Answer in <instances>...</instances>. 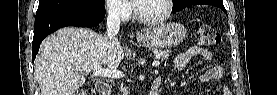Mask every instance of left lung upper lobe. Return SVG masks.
Returning <instances> with one entry per match:
<instances>
[{
  "instance_id": "1",
  "label": "left lung upper lobe",
  "mask_w": 277,
  "mask_h": 95,
  "mask_svg": "<svg viewBox=\"0 0 277 95\" xmlns=\"http://www.w3.org/2000/svg\"><path fill=\"white\" fill-rule=\"evenodd\" d=\"M195 1L197 0H173L174 5L172 8V12H178ZM215 1H222V0H215Z\"/></svg>"
}]
</instances>
